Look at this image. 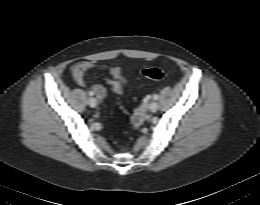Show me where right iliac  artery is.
<instances>
[{
	"mask_svg": "<svg viewBox=\"0 0 260 205\" xmlns=\"http://www.w3.org/2000/svg\"><path fill=\"white\" fill-rule=\"evenodd\" d=\"M89 95L92 96V95H93V92H92V91H89Z\"/></svg>",
	"mask_w": 260,
	"mask_h": 205,
	"instance_id": "right-iliac-artery-1",
	"label": "right iliac artery"
}]
</instances>
